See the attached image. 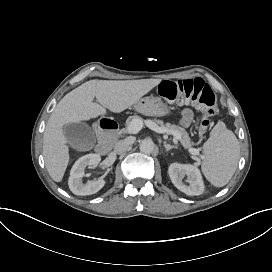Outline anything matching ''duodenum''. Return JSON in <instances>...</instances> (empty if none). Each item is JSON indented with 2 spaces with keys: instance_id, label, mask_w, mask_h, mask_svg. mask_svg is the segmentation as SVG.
<instances>
[{
  "instance_id": "obj_1",
  "label": "duodenum",
  "mask_w": 272,
  "mask_h": 272,
  "mask_svg": "<svg viewBox=\"0 0 272 272\" xmlns=\"http://www.w3.org/2000/svg\"><path fill=\"white\" fill-rule=\"evenodd\" d=\"M97 134L99 142L97 152L100 154L107 153L112 147L118 136V124L111 119H102L98 125Z\"/></svg>"
}]
</instances>
